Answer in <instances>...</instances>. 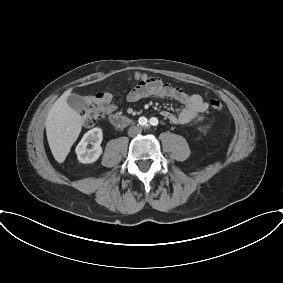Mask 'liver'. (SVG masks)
<instances>
[{
    "label": "liver",
    "mask_w": 283,
    "mask_h": 283,
    "mask_svg": "<svg viewBox=\"0 0 283 283\" xmlns=\"http://www.w3.org/2000/svg\"><path fill=\"white\" fill-rule=\"evenodd\" d=\"M71 90L61 95L50 109L45 126L51 152L58 163L65 161L81 129V116L67 104Z\"/></svg>",
    "instance_id": "liver-1"
}]
</instances>
